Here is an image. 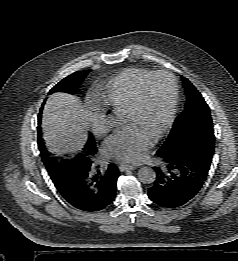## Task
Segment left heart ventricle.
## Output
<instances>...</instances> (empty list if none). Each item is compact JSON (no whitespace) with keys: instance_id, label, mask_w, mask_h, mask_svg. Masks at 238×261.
<instances>
[{"instance_id":"b2bd125f","label":"left heart ventricle","mask_w":238,"mask_h":261,"mask_svg":"<svg viewBox=\"0 0 238 261\" xmlns=\"http://www.w3.org/2000/svg\"><path fill=\"white\" fill-rule=\"evenodd\" d=\"M171 97L170 80L165 76L153 78L145 88L141 108L126 114V126H138L153 137L167 118Z\"/></svg>"}]
</instances>
